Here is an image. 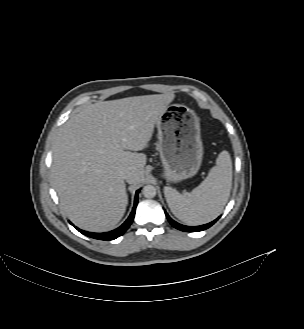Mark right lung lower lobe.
<instances>
[{"label":"right lung lower lobe","mask_w":304,"mask_h":329,"mask_svg":"<svg viewBox=\"0 0 304 329\" xmlns=\"http://www.w3.org/2000/svg\"><path fill=\"white\" fill-rule=\"evenodd\" d=\"M138 193H139V190L136 192L134 207L132 209V212H131L130 216L117 229L112 230L110 232H106V233H92V232H87V231L81 230V229H79L77 227H75V228L79 232H81L82 234H84V235H86L88 237L94 238V239L108 241V240H113V239L118 238L119 236H121L129 228V226L131 225V223H132V221L134 219V215H135V211H136V206H137V203H138Z\"/></svg>","instance_id":"obj_1"}]
</instances>
